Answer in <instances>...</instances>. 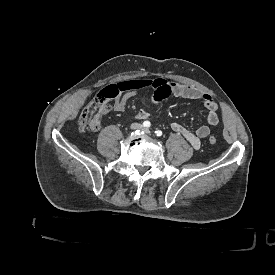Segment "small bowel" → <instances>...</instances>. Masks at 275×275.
Segmentation results:
<instances>
[{
    "instance_id": "obj_1",
    "label": "small bowel",
    "mask_w": 275,
    "mask_h": 275,
    "mask_svg": "<svg viewBox=\"0 0 275 275\" xmlns=\"http://www.w3.org/2000/svg\"><path fill=\"white\" fill-rule=\"evenodd\" d=\"M121 84L124 86V89L114 100L111 107L115 112H123L128 101L138 92L146 89H153V93L148 100L149 105L159 104L170 96L202 101L207 110L206 124L201 125L195 131H192L178 121L170 123V129L183 136L195 149L200 147L201 140L208 137L211 133V128L217 126L220 121L218 104L216 101L197 87L167 81L161 77L143 80H128ZM149 116L150 111L147 108L140 109L136 114V117L139 120H146ZM89 127L92 131H98L101 127L100 120H91L89 122Z\"/></svg>"
}]
</instances>
